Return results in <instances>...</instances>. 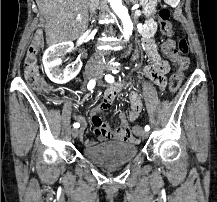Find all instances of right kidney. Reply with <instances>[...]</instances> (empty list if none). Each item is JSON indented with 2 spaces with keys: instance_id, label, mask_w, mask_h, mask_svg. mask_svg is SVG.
Masks as SVG:
<instances>
[{
  "instance_id": "1",
  "label": "right kidney",
  "mask_w": 217,
  "mask_h": 202,
  "mask_svg": "<svg viewBox=\"0 0 217 202\" xmlns=\"http://www.w3.org/2000/svg\"><path fill=\"white\" fill-rule=\"evenodd\" d=\"M67 46H70V50H72L73 42H62V44L50 46L43 56L45 72L48 78H50L52 82H57V84H66L68 80L75 78V76L79 74L82 66L80 62L78 68H74L72 72H61V70H59V66L62 64V56L64 52H67Z\"/></svg>"
}]
</instances>
